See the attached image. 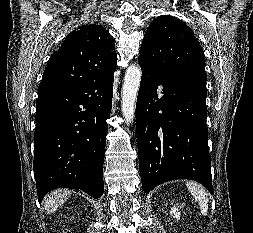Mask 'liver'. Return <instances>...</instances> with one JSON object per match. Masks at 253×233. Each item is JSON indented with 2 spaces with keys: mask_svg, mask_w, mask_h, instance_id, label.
Listing matches in <instances>:
<instances>
[{
  "mask_svg": "<svg viewBox=\"0 0 253 233\" xmlns=\"http://www.w3.org/2000/svg\"><path fill=\"white\" fill-rule=\"evenodd\" d=\"M71 192L68 190H55L45 200V210L47 213L55 212L70 196Z\"/></svg>",
  "mask_w": 253,
  "mask_h": 233,
  "instance_id": "liver-1",
  "label": "liver"
}]
</instances>
